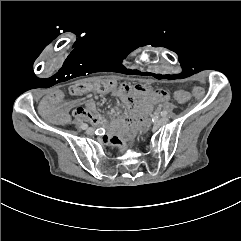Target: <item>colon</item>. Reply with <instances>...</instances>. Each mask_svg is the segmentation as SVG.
Wrapping results in <instances>:
<instances>
[{
  "instance_id": "obj_1",
  "label": "colon",
  "mask_w": 241,
  "mask_h": 241,
  "mask_svg": "<svg viewBox=\"0 0 241 241\" xmlns=\"http://www.w3.org/2000/svg\"><path fill=\"white\" fill-rule=\"evenodd\" d=\"M113 91L114 86L109 79H95L93 83H90L88 79H83L81 84H73L71 88H69L68 93L74 96L76 93H112ZM168 94L172 96L174 101L186 103L190 99L188 93L183 89H176L175 87H170ZM192 94L196 98H201L204 95V90L201 87H195L192 90Z\"/></svg>"
}]
</instances>
